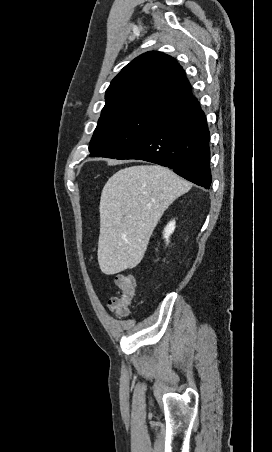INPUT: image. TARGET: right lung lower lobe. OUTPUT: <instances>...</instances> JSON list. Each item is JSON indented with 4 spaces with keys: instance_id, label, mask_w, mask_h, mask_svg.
Returning a JSON list of instances; mask_svg holds the SVG:
<instances>
[{
    "instance_id": "right-lung-lower-lobe-1",
    "label": "right lung lower lobe",
    "mask_w": 272,
    "mask_h": 452,
    "mask_svg": "<svg viewBox=\"0 0 272 452\" xmlns=\"http://www.w3.org/2000/svg\"><path fill=\"white\" fill-rule=\"evenodd\" d=\"M209 130L196 98L161 114L146 132L116 159H138L172 169L206 189L211 185Z\"/></svg>"
}]
</instances>
